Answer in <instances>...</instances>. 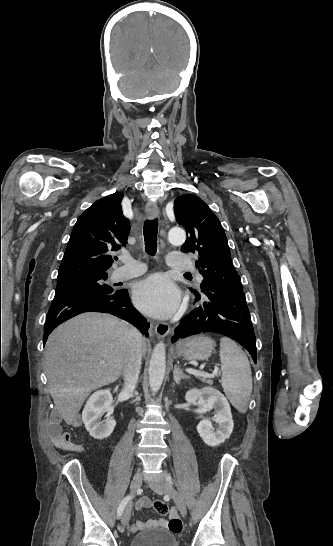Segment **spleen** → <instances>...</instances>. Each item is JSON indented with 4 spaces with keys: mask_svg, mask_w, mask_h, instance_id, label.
Returning <instances> with one entry per match:
<instances>
[{
    "mask_svg": "<svg viewBox=\"0 0 333 546\" xmlns=\"http://www.w3.org/2000/svg\"><path fill=\"white\" fill-rule=\"evenodd\" d=\"M221 385L231 404L246 413L252 392L250 363L243 350L231 339H220Z\"/></svg>",
    "mask_w": 333,
    "mask_h": 546,
    "instance_id": "obj_1",
    "label": "spleen"
}]
</instances>
